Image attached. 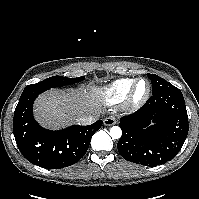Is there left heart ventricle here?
Instances as JSON below:
<instances>
[{
    "instance_id": "b2bd125f",
    "label": "left heart ventricle",
    "mask_w": 199,
    "mask_h": 199,
    "mask_svg": "<svg viewBox=\"0 0 199 199\" xmlns=\"http://www.w3.org/2000/svg\"><path fill=\"white\" fill-rule=\"evenodd\" d=\"M147 91V83L144 81L139 82L136 88L135 97L138 99L142 97Z\"/></svg>"
}]
</instances>
